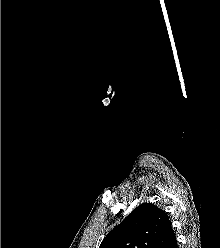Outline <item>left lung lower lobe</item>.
Returning <instances> with one entry per match:
<instances>
[{
  "instance_id": "left-lung-lower-lobe-1",
  "label": "left lung lower lobe",
  "mask_w": 220,
  "mask_h": 248,
  "mask_svg": "<svg viewBox=\"0 0 220 248\" xmlns=\"http://www.w3.org/2000/svg\"><path fill=\"white\" fill-rule=\"evenodd\" d=\"M166 248H178L176 237L174 236Z\"/></svg>"
}]
</instances>
